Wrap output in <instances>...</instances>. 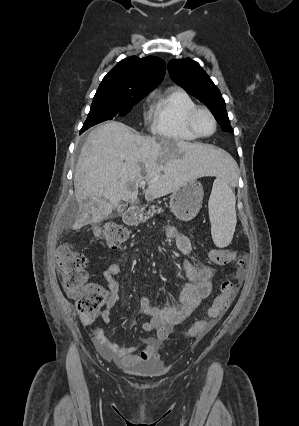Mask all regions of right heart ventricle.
Segmentation results:
<instances>
[{
	"label": "right heart ventricle",
	"mask_w": 299,
	"mask_h": 426,
	"mask_svg": "<svg viewBox=\"0 0 299 426\" xmlns=\"http://www.w3.org/2000/svg\"><path fill=\"white\" fill-rule=\"evenodd\" d=\"M196 107L195 101L183 89L170 87L156 98L152 112L154 134L173 141H194L186 123L189 112Z\"/></svg>",
	"instance_id": "right-heart-ventricle-1"
}]
</instances>
